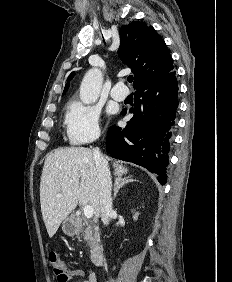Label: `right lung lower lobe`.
Returning <instances> with one entry per match:
<instances>
[{"label":"right lung lower lobe","instance_id":"1","mask_svg":"<svg viewBox=\"0 0 232 282\" xmlns=\"http://www.w3.org/2000/svg\"><path fill=\"white\" fill-rule=\"evenodd\" d=\"M171 71L147 80L135 87V105L128 112L134 116L125 128L111 126L107 134L108 153L158 174V181L166 183V167L170 138L178 107V85ZM123 109L122 115H125Z\"/></svg>","mask_w":232,"mask_h":282}]
</instances>
